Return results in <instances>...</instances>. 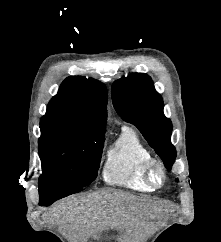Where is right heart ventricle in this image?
Here are the masks:
<instances>
[{"label": "right heart ventricle", "instance_id": "obj_1", "mask_svg": "<svg viewBox=\"0 0 221 242\" xmlns=\"http://www.w3.org/2000/svg\"><path fill=\"white\" fill-rule=\"evenodd\" d=\"M152 157L136 132L123 127L115 145L109 150L103 169L104 181L137 192L153 190L142 173L144 163Z\"/></svg>", "mask_w": 221, "mask_h": 242}]
</instances>
